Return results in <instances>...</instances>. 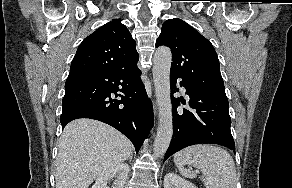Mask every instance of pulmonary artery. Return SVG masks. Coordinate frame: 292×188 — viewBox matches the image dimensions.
<instances>
[{"instance_id": "pulmonary-artery-1", "label": "pulmonary artery", "mask_w": 292, "mask_h": 188, "mask_svg": "<svg viewBox=\"0 0 292 188\" xmlns=\"http://www.w3.org/2000/svg\"><path fill=\"white\" fill-rule=\"evenodd\" d=\"M182 90L185 92V88H182Z\"/></svg>"}]
</instances>
